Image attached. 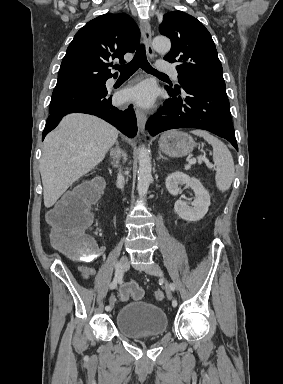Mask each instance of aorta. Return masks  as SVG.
<instances>
[{"instance_id": "obj_1", "label": "aorta", "mask_w": 283, "mask_h": 384, "mask_svg": "<svg viewBox=\"0 0 283 384\" xmlns=\"http://www.w3.org/2000/svg\"><path fill=\"white\" fill-rule=\"evenodd\" d=\"M153 48L161 53L166 54L170 51L171 42L168 38L164 36H157L153 40ZM139 168H138V182L137 190L140 197L147 194L149 185L152 181L151 175V157L149 156L147 150L144 147L139 148L138 154Z\"/></svg>"}]
</instances>
